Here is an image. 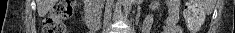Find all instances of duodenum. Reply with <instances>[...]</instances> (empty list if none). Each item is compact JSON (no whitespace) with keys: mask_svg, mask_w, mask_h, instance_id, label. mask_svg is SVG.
Masks as SVG:
<instances>
[{"mask_svg":"<svg viewBox=\"0 0 235 33\" xmlns=\"http://www.w3.org/2000/svg\"><path fill=\"white\" fill-rule=\"evenodd\" d=\"M86 23L92 31L98 30L100 26V11L92 2L86 6Z\"/></svg>","mask_w":235,"mask_h":33,"instance_id":"410a0bca","label":"duodenum"}]
</instances>
